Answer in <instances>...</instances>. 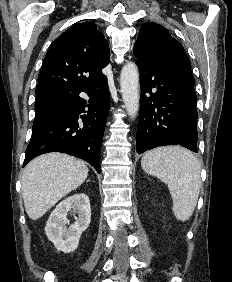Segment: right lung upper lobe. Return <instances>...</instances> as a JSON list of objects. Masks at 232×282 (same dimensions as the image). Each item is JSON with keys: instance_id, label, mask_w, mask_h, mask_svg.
<instances>
[{"instance_id": "obj_1", "label": "right lung upper lobe", "mask_w": 232, "mask_h": 282, "mask_svg": "<svg viewBox=\"0 0 232 282\" xmlns=\"http://www.w3.org/2000/svg\"><path fill=\"white\" fill-rule=\"evenodd\" d=\"M109 57V45L94 22L77 23L49 47L36 92L69 96L102 79L101 69L108 65Z\"/></svg>"}]
</instances>
